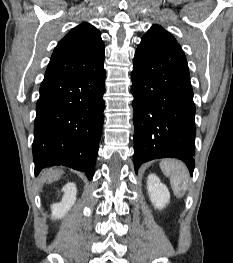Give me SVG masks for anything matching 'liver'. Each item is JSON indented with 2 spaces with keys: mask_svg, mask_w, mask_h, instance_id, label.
<instances>
[{
  "mask_svg": "<svg viewBox=\"0 0 233 263\" xmlns=\"http://www.w3.org/2000/svg\"><path fill=\"white\" fill-rule=\"evenodd\" d=\"M62 174H63L62 170H53V169L44 170L40 174L39 180L42 183H52V182L58 180Z\"/></svg>",
  "mask_w": 233,
  "mask_h": 263,
  "instance_id": "1",
  "label": "liver"
}]
</instances>
